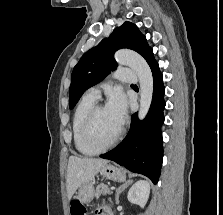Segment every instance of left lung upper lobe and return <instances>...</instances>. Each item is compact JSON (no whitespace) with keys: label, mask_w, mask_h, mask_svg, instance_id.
Wrapping results in <instances>:
<instances>
[{"label":"left lung upper lobe","mask_w":223,"mask_h":215,"mask_svg":"<svg viewBox=\"0 0 223 215\" xmlns=\"http://www.w3.org/2000/svg\"><path fill=\"white\" fill-rule=\"evenodd\" d=\"M120 48H129L142 55L151 66L156 63L152 49L146 38L136 25L125 22L117 27L110 38L103 39L97 46L82 56L72 72L69 89V108L72 109L82 94L91 86L97 84L117 67L114 53Z\"/></svg>","instance_id":"5c2ea615"}]
</instances>
